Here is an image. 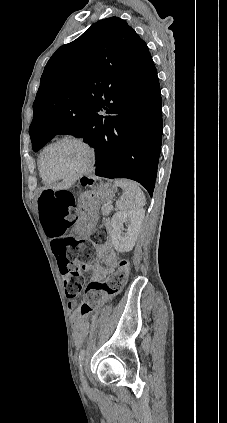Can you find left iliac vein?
Here are the masks:
<instances>
[{
  "mask_svg": "<svg viewBox=\"0 0 227 423\" xmlns=\"http://www.w3.org/2000/svg\"><path fill=\"white\" fill-rule=\"evenodd\" d=\"M81 383H82V387H83V389H84V390H87V389H88V384H87V381H86V378H85V376H84L83 371H82V373H81Z\"/></svg>",
  "mask_w": 227,
  "mask_h": 423,
  "instance_id": "left-iliac-vein-1",
  "label": "left iliac vein"
}]
</instances>
